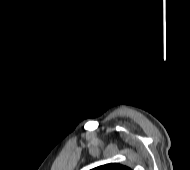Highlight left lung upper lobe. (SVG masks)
Segmentation results:
<instances>
[{
    "label": "left lung upper lobe",
    "instance_id": "5c2ea615",
    "mask_svg": "<svg viewBox=\"0 0 190 170\" xmlns=\"http://www.w3.org/2000/svg\"><path fill=\"white\" fill-rule=\"evenodd\" d=\"M92 170H132V169L118 163H110V164L101 165Z\"/></svg>",
    "mask_w": 190,
    "mask_h": 170
}]
</instances>
